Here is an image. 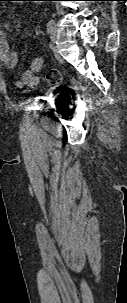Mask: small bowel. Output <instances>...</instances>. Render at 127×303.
Here are the masks:
<instances>
[{"label":"small bowel","instance_id":"1","mask_svg":"<svg viewBox=\"0 0 127 303\" xmlns=\"http://www.w3.org/2000/svg\"><path fill=\"white\" fill-rule=\"evenodd\" d=\"M9 30L8 26L0 27V63L7 69H13L18 62V54L11 50L9 42L6 38V31ZM38 82V76L33 70H27L23 73L22 84L34 85Z\"/></svg>","mask_w":127,"mask_h":303}]
</instances>
